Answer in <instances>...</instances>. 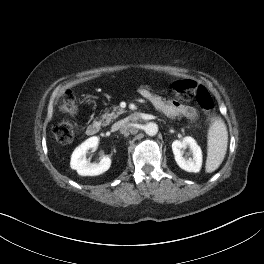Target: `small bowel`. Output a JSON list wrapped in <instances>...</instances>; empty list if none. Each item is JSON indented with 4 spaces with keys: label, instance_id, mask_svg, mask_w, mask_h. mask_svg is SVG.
I'll return each mask as SVG.
<instances>
[{
    "label": "small bowel",
    "instance_id": "obj_1",
    "mask_svg": "<svg viewBox=\"0 0 264 264\" xmlns=\"http://www.w3.org/2000/svg\"><path fill=\"white\" fill-rule=\"evenodd\" d=\"M139 93L144 99L150 101L160 111L169 116H183L190 120L197 117V110L192 106L183 105L176 101L166 100L146 89H141Z\"/></svg>",
    "mask_w": 264,
    "mask_h": 264
}]
</instances>
